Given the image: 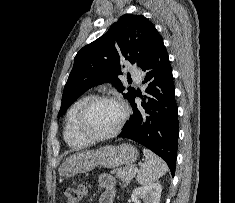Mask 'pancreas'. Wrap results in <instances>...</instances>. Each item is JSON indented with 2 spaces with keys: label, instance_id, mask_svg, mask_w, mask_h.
<instances>
[{
  "label": "pancreas",
  "instance_id": "obj_1",
  "mask_svg": "<svg viewBox=\"0 0 235 203\" xmlns=\"http://www.w3.org/2000/svg\"><path fill=\"white\" fill-rule=\"evenodd\" d=\"M134 168L133 165H126L123 168L112 170L111 173L116 174L117 178L121 179L125 184H128L135 177L136 172H134Z\"/></svg>",
  "mask_w": 235,
  "mask_h": 203
}]
</instances>
